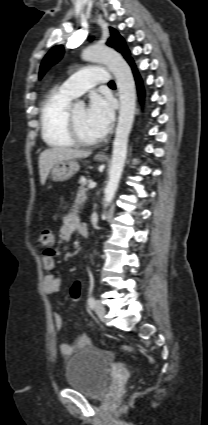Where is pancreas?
Masks as SVG:
<instances>
[{
    "mask_svg": "<svg viewBox=\"0 0 208 425\" xmlns=\"http://www.w3.org/2000/svg\"><path fill=\"white\" fill-rule=\"evenodd\" d=\"M90 182H91V180L80 179V181H79L80 187H79L77 197H76V200H75L76 205L82 206L85 203V201L87 200L88 189L85 188V185L87 183H90Z\"/></svg>",
    "mask_w": 208,
    "mask_h": 425,
    "instance_id": "pancreas-1",
    "label": "pancreas"
}]
</instances>
